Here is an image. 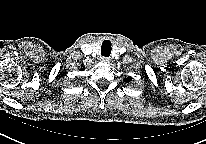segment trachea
<instances>
[{"instance_id": "1", "label": "trachea", "mask_w": 206, "mask_h": 144, "mask_svg": "<svg viewBox=\"0 0 206 144\" xmlns=\"http://www.w3.org/2000/svg\"><path fill=\"white\" fill-rule=\"evenodd\" d=\"M111 42L108 41V40H105L103 43H102V46H101V55L102 56H105V57H108L110 56L111 54Z\"/></svg>"}]
</instances>
